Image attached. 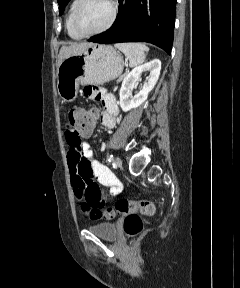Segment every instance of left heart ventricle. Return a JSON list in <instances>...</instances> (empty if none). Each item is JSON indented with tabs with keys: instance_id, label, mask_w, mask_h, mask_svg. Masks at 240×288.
<instances>
[{
	"instance_id": "1",
	"label": "left heart ventricle",
	"mask_w": 240,
	"mask_h": 288,
	"mask_svg": "<svg viewBox=\"0 0 240 288\" xmlns=\"http://www.w3.org/2000/svg\"><path fill=\"white\" fill-rule=\"evenodd\" d=\"M111 13L109 0H87L79 16L78 26L83 32H92L105 25Z\"/></svg>"
}]
</instances>
